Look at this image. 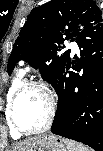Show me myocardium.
<instances>
[{
  "mask_svg": "<svg viewBox=\"0 0 103 151\" xmlns=\"http://www.w3.org/2000/svg\"><path fill=\"white\" fill-rule=\"evenodd\" d=\"M30 89H37V90L41 91L44 94L46 101H47L48 111H47L46 121L40 128H37V129L23 128L17 122L16 116H15V107H16V103H17L18 99L24 92H26L27 90H30ZM56 109H57V101H56V97H55L54 93L52 92V90L42 82L29 81V82L23 83L13 94V96L10 100V104H9V119H10V122H11L12 126L14 127V129L17 132H19L20 134H25V135L37 134V133L44 132L45 130L50 128V126L52 125L53 120L55 118Z\"/></svg>",
  "mask_w": 103,
  "mask_h": 151,
  "instance_id": "1",
  "label": "myocardium"
}]
</instances>
